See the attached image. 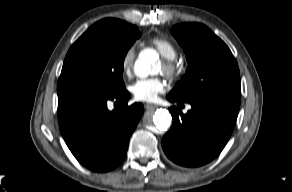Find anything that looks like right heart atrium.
Returning <instances> with one entry per match:
<instances>
[{
  "label": "right heart atrium",
  "instance_id": "obj_1",
  "mask_svg": "<svg viewBox=\"0 0 292 192\" xmlns=\"http://www.w3.org/2000/svg\"><path fill=\"white\" fill-rule=\"evenodd\" d=\"M135 59L134 47H129L121 58V69L124 74L129 75L132 71Z\"/></svg>",
  "mask_w": 292,
  "mask_h": 192
}]
</instances>
